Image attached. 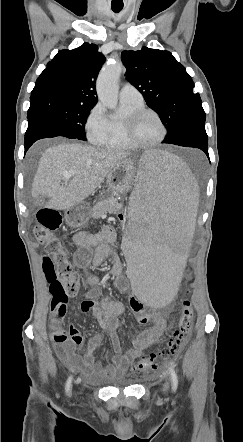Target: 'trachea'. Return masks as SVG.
I'll use <instances>...</instances> for the list:
<instances>
[{
	"label": "trachea",
	"mask_w": 243,
	"mask_h": 442,
	"mask_svg": "<svg viewBox=\"0 0 243 442\" xmlns=\"http://www.w3.org/2000/svg\"><path fill=\"white\" fill-rule=\"evenodd\" d=\"M122 8H123V6H112V10H113L115 13L120 12V11L122 10Z\"/></svg>",
	"instance_id": "3493384b"
}]
</instances>
